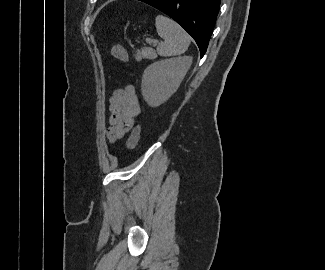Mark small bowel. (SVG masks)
I'll use <instances>...</instances> for the list:
<instances>
[{
    "label": "small bowel",
    "instance_id": "small-bowel-1",
    "mask_svg": "<svg viewBox=\"0 0 325 270\" xmlns=\"http://www.w3.org/2000/svg\"><path fill=\"white\" fill-rule=\"evenodd\" d=\"M109 127L107 139L114 142L128 132L141 113V107L132 85L116 89L109 100Z\"/></svg>",
    "mask_w": 325,
    "mask_h": 270
}]
</instances>
